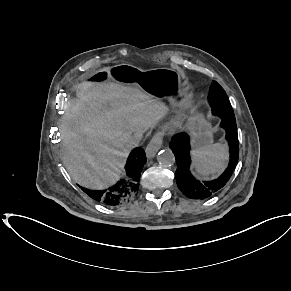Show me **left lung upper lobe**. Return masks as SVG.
Instances as JSON below:
<instances>
[{
  "label": "left lung upper lobe",
  "instance_id": "1",
  "mask_svg": "<svg viewBox=\"0 0 291 291\" xmlns=\"http://www.w3.org/2000/svg\"><path fill=\"white\" fill-rule=\"evenodd\" d=\"M209 102L212 107V113L214 115H217L218 111H221L223 109H227L231 111L232 114H234L230 101L224 89L216 81H213L210 94H209Z\"/></svg>",
  "mask_w": 291,
  "mask_h": 291
}]
</instances>
